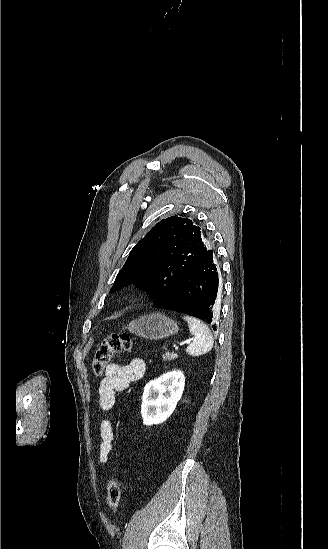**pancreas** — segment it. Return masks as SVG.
I'll use <instances>...</instances> for the list:
<instances>
[{
	"mask_svg": "<svg viewBox=\"0 0 328 549\" xmlns=\"http://www.w3.org/2000/svg\"><path fill=\"white\" fill-rule=\"evenodd\" d=\"M162 357L164 361H174V359H178L177 353H165Z\"/></svg>",
	"mask_w": 328,
	"mask_h": 549,
	"instance_id": "pancreas-1",
	"label": "pancreas"
}]
</instances>
